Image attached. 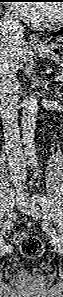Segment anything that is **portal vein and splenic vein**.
<instances>
[{"instance_id": "obj_1", "label": "portal vein and splenic vein", "mask_w": 63, "mask_h": 297, "mask_svg": "<svg viewBox=\"0 0 63 297\" xmlns=\"http://www.w3.org/2000/svg\"><path fill=\"white\" fill-rule=\"evenodd\" d=\"M55 81H63V75L56 76Z\"/></svg>"}]
</instances>
